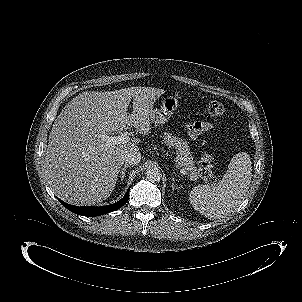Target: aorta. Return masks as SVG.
<instances>
[{
    "label": "aorta",
    "instance_id": "aorta-1",
    "mask_svg": "<svg viewBox=\"0 0 302 302\" xmlns=\"http://www.w3.org/2000/svg\"><path fill=\"white\" fill-rule=\"evenodd\" d=\"M145 175L147 180L152 183L159 182L162 177L160 170L156 167H151L147 169Z\"/></svg>",
    "mask_w": 302,
    "mask_h": 302
}]
</instances>
